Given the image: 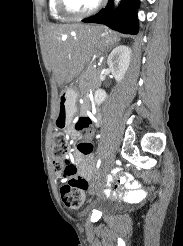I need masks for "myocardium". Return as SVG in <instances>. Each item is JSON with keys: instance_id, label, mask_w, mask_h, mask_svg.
Segmentation results:
<instances>
[{"instance_id": "obj_1", "label": "myocardium", "mask_w": 183, "mask_h": 246, "mask_svg": "<svg viewBox=\"0 0 183 246\" xmlns=\"http://www.w3.org/2000/svg\"><path fill=\"white\" fill-rule=\"evenodd\" d=\"M103 0H98L90 9L77 12L71 9L68 0H57V7L61 14L71 19H81L88 17L99 10L102 5Z\"/></svg>"}]
</instances>
